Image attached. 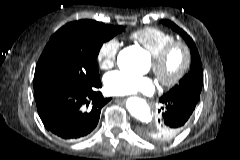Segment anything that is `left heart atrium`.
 <instances>
[{
  "instance_id": "left-heart-atrium-1",
  "label": "left heart atrium",
  "mask_w": 240,
  "mask_h": 160,
  "mask_svg": "<svg viewBox=\"0 0 240 160\" xmlns=\"http://www.w3.org/2000/svg\"><path fill=\"white\" fill-rule=\"evenodd\" d=\"M106 91L114 95H131L135 93L152 94L155 89L150 77L133 76L121 71L108 74L105 78Z\"/></svg>"
}]
</instances>
